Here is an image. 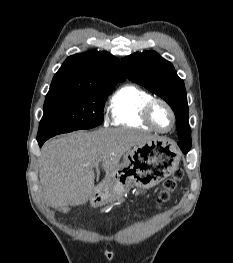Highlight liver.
<instances>
[{
	"mask_svg": "<svg viewBox=\"0 0 233 263\" xmlns=\"http://www.w3.org/2000/svg\"><path fill=\"white\" fill-rule=\"evenodd\" d=\"M156 136L127 128L78 131L47 141L39 158V177L48 206L85 204L95 196L93 167L101 164L107 178L131 147Z\"/></svg>",
	"mask_w": 233,
	"mask_h": 263,
	"instance_id": "1",
	"label": "liver"
}]
</instances>
